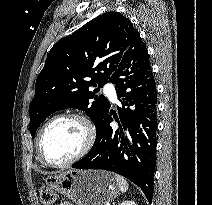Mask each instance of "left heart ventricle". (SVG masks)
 <instances>
[{"label": "left heart ventricle", "mask_w": 212, "mask_h": 205, "mask_svg": "<svg viewBox=\"0 0 212 205\" xmlns=\"http://www.w3.org/2000/svg\"><path fill=\"white\" fill-rule=\"evenodd\" d=\"M85 141L83 126L76 120L63 119L53 123L45 132L42 151L52 163L64 162L76 155Z\"/></svg>", "instance_id": "b2bd125f"}]
</instances>
